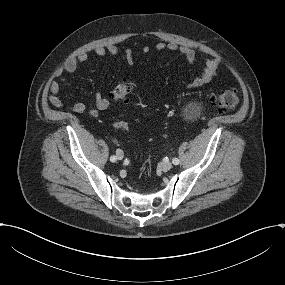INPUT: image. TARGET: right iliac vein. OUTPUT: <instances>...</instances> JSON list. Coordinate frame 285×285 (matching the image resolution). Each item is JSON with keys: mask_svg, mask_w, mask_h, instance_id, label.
<instances>
[{"mask_svg": "<svg viewBox=\"0 0 285 285\" xmlns=\"http://www.w3.org/2000/svg\"><path fill=\"white\" fill-rule=\"evenodd\" d=\"M116 155L118 160H122L124 157V153L121 150H118Z\"/></svg>", "mask_w": 285, "mask_h": 285, "instance_id": "right-iliac-vein-1", "label": "right iliac vein"}]
</instances>
